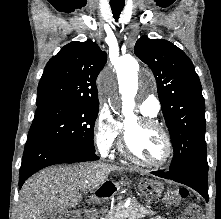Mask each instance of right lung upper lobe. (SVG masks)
<instances>
[{"mask_svg":"<svg viewBox=\"0 0 221 219\" xmlns=\"http://www.w3.org/2000/svg\"><path fill=\"white\" fill-rule=\"evenodd\" d=\"M107 55L92 41L71 42L47 63L37 90V104L65 101L99 104L96 79Z\"/></svg>","mask_w":221,"mask_h":219,"instance_id":"1","label":"right lung upper lobe"}]
</instances>
